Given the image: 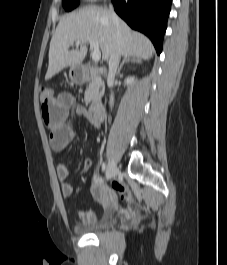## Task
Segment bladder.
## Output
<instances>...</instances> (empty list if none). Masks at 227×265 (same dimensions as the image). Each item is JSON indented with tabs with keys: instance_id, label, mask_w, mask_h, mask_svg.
Returning a JSON list of instances; mask_svg holds the SVG:
<instances>
[{
	"instance_id": "obj_1",
	"label": "bladder",
	"mask_w": 227,
	"mask_h": 265,
	"mask_svg": "<svg viewBox=\"0 0 227 265\" xmlns=\"http://www.w3.org/2000/svg\"><path fill=\"white\" fill-rule=\"evenodd\" d=\"M116 224L117 218L112 212H108L100 222L92 225H76L74 226V231L82 235L96 234L104 230L110 229Z\"/></svg>"
}]
</instances>
